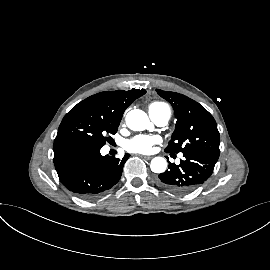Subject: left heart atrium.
Returning <instances> with one entry per match:
<instances>
[{
	"mask_svg": "<svg viewBox=\"0 0 270 270\" xmlns=\"http://www.w3.org/2000/svg\"><path fill=\"white\" fill-rule=\"evenodd\" d=\"M159 142L157 136L137 135L125 142V149L129 152L148 154L152 152L154 145Z\"/></svg>",
	"mask_w": 270,
	"mask_h": 270,
	"instance_id": "1",
	"label": "left heart atrium"
}]
</instances>
